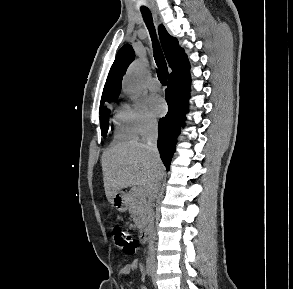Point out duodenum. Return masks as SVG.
Listing matches in <instances>:
<instances>
[{
  "mask_svg": "<svg viewBox=\"0 0 293 289\" xmlns=\"http://www.w3.org/2000/svg\"><path fill=\"white\" fill-rule=\"evenodd\" d=\"M140 239L143 244H146L149 240V230L147 227H144L140 233Z\"/></svg>",
  "mask_w": 293,
  "mask_h": 289,
  "instance_id": "410a0bca",
  "label": "duodenum"
}]
</instances>
